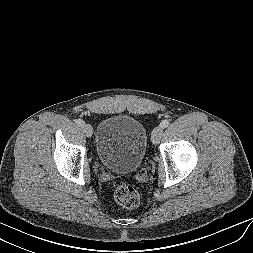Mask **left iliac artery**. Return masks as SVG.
<instances>
[{"label":"left iliac artery","mask_w":253,"mask_h":253,"mask_svg":"<svg viewBox=\"0 0 253 253\" xmlns=\"http://www.w3.org/2000/svg\"><path fill=\"white\" fill-rule=\"evenodd\" d=\"M168 125H169V121H168V120H163V121L160 123V126H161L162 128H166V127H168Z\"/></svg>","instance_id":"obj_1"}]
</instances>
